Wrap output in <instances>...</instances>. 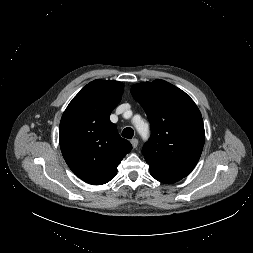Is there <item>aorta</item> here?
Returning <instances> with one entry per match:
<instances>
[{"instance_id": "aorta-1", "label": "aorta", "mask_w": 253, "mask_h": 253, "mask_svg": "<svg viewBox=\"0 0 253 253\" xmlns=\"http://www.w3.org/2000/svg\"><path fill=\"white\" fill-rule=\"evenodd\" d=\"M136 128H137L138 132L141 134V136L143 138L147 137V134H148V128L147 127L143 129V128H141V123H137Z\"/></svg>"}]
</instances>
